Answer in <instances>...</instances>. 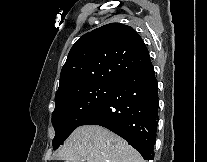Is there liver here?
<instances>
[{
  "mask_svg": "<svg viewBox=\"0 0 207 162\" xmlns=\"http://www.w3.org/2000/svg\"><path fill=\"white\" fill-rule=\"evenodd\" d=\"M56 156L65 162H145L127 141L92 124L76 128Z\"/></svg>",
  "mask_w": 207,
  "mask_h": 162,
  "instance_id": "obj_1",
  "label": "liver"
}]
</instances>
